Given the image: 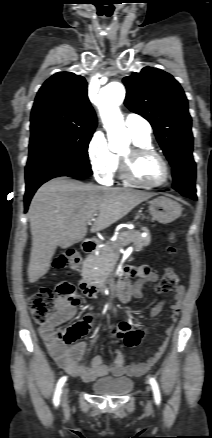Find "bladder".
Listing matches in <instances>:
<instances>
[{
  "label": "bladder",
  "mask_w": 212,
  "mask_h": 438,
  "mask_svg": "<svg viewBox=\"0 0 212 438\" xmlns=\"http://www.w3.org/2000/svg\"><path fill=\"white\" fill-rule=\"evenodd\" d=\"M91 389L98 395H124L132 389V380L124 377H103L93 382Z\"/></svg>",
  "instance_id": "1"
}]
</instances>
